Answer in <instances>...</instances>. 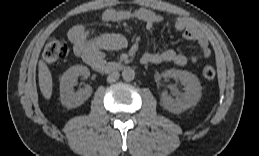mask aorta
<instances>
[{"instance_id":"obj_1","label":"aorta","mask_w":259,"mask_h":156,"mask_svg":"<svg viewBox=\"0 0 259 156\" xmlns=\"http://www.w3.org/2000/svg\"><path fill=\"white\" fill-rule=\"evenodd\" d=\"M122 78L125 81H132L135 78V71L130 67L125 68L122 72Z\"/></svg>"}]
</instances>
